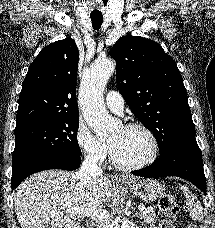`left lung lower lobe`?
<instances>
[{
	"label": "left lung lower lobe",
	"instance_id": "obj_1",
	"mask_svg": "<svg viewBox=\"0 0 215 228\" xmlns=\"http://www.w3.org/2000/svg\"><path fill=\"white\" fill-rule=\"evenodd\" d=\"M141 177L177 176L184 178L206 194V178L200 149L195 136H190L170 145L160 153L150 166L132 171Z\"/></svg>",
	"mask_w": 215,
	"mask_h": 228
}]
</instances>
